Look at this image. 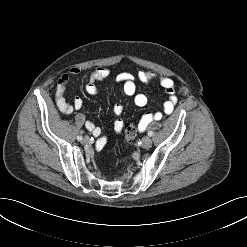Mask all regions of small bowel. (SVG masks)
<instances>
[{"instance_id": "1", "label": "small bowel", "mask_w": 247, "mask_h": 247, "mask_svg": "<svg viewBox=\"0 0 247 247\" xmlns=\"http://www.w3.org/2000/svg\"><path fill=\"white\" fill-rule=\"evenodd\" d=\"M81 73L80 68L73 67L70 69L69 74H65L59 80L56 94H55V101L60 109L61 112L65 114H70L74 110H79L83 105V100L81 97L76 96L72 100V102H68L64 96V91L66 85L69 83L72 76H78ZM110 75V70L106 67H98L96 68L90 75L88 82L85 85V91L90 94L94 95L97 93L98 88L97 85L104 81ZM136 78L143 84H150L152 82H159L161 87L164 91L168 94V99L163 104V112L166 115L172 114L174 108L177 103V97L175 95V85L174 81L168 77H159L158 74L154 71H146V70H139L137 75H133L129 72H122L116 76V82L123 85V90L126 96L132 98L135 105L139 107H144L148 99L146 95L137 92L136 86ZM125 109L124 103H117L113 107V113L116 116L114 120V129L117 133H121L124 129L125 123L121 118ZM163 117L162 112H147L145 113L138 123L139 131H143L147 128V126L152 123L153 121L160 120ZM85 127L91 134L98 138L97 146L99 148L103 147L106 143V138L103 137L101 134V129L99 126L94 124L91 121L85 122Z\"/></svg>"}]
</instances>
